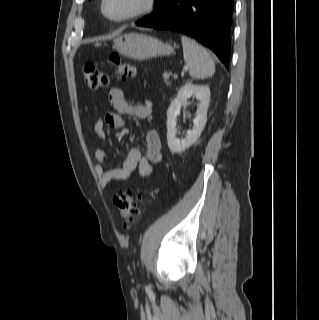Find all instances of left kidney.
Masks as SVG:
<instances>
[{
    "label": "left kidney",
    "mask_w": 319,
    "mask_h": 320,
    "mask_svg": "<svg viewBox=\"0 0 319 320\" xmlns=\"http://www.w3.org/2000/svg\"><path fill=\"white\" fill-rule=\"evenodd\" d=\"M191 97L199 101L192 130L187 132L184 139L176 137L177 116L181 107L187 105ZM210 100V89L205 85L186 83L178 91L177 97L171 102L167 111V142L172 153H181L189 148L201 135L207 120V110Z\"/></svg>",
    "instance_id": "5707ae66"
}]
</instances>
